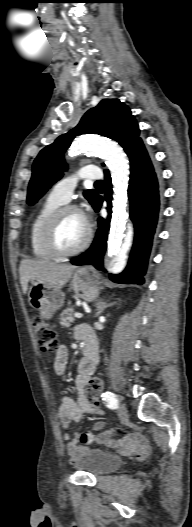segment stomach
I'll return each instance as SVG.
<instances>
[{
	"label": "stomach",
	"instance_id": "1",
	"mask_svg": "<svg viewBox=\"0 0 192 527\" xmlns=\"http://www.w3.org/2000/svg\"><path fill=\"white\" fill-rule=\"evenodd\" d=\"M71 289L85 301L95 300L100 292L96 272L90 268L78 269L71 280ZM29 304L39 310L43 319H50L64 304V293L38 281H32L28 291Z\"/></svg>",
	"mask_w": 192,
	"mask_h": 527
}]
</instances>
